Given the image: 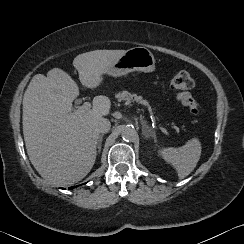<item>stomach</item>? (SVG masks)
Masks as SVG:
<instances>
[{
  "instance_id": "obj_1",
  "label": "stomach",
  "mask_w": 244,
  "mask_h": 244,
  "mask_svg": "<svg viewBox=\"0 0 244 244\" xmlns=\"http://www.w3.org/2000/svg\"><path fill=\"white\" fill-rule=\"evenodd\" d=\"M155 69V58L152 52L146 47H133L125 50L117 58L106 74L113 77L127 75L133 71L152 72Z\"/></svg>"
}]
</instances>
